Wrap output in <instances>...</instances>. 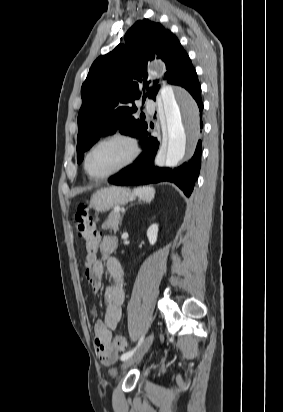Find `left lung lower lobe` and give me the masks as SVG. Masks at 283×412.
Returning a JSON list of instances; mask_svg holds the SVG:
<instances>
[{"mask_svg": "<svg viewBox=\"0 0 283 412\" xmlns=\"http://www.w3.org/2000/svg\"><path fill=\"white\" fill-rule=\"evenodd\" d=\"M176 85L188 90L197 102L199 110L202 111L201 87L195 69L193 68L183 78H180ZM200 126L202 127V123ZM137 138L143 147L142 154L132 165L110 177L108 181L114 185H142L167 181L176 184L189 197L200 172L201 141H198L190 161L178 168L171 169L154 167L153 162L159 148V141L151 135L149 126L142 130Z\"/></svg>", "mask_w": 283, "mask_h": 412, "instance_id": "obj_1", "label": "left lung lower lobe"}]
</instances>
